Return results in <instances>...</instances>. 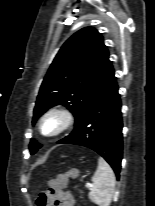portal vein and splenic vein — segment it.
<instances>
[{
  "label": "portal vein and splenic vein",
  "mask_w": 155,
  "mask_h": 206,
  "mask_svg": "<svg viewBox=\"0 0 155 206\" xmlns=\"http://www.w3.org/2000/svg\"><path fill=\"white\" fill-rule=\"evenodd\" d=\"M85 187H86V188H91V187H92V184L86 183V184H85Z\"/></svg>",
  "instance_id": "obj_1"
}]
</instances>
